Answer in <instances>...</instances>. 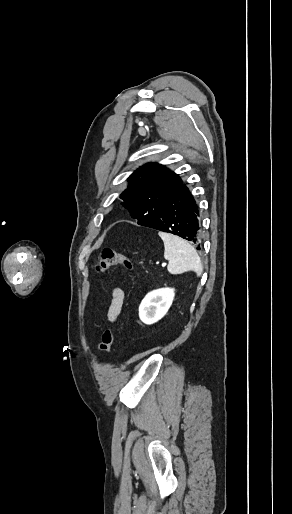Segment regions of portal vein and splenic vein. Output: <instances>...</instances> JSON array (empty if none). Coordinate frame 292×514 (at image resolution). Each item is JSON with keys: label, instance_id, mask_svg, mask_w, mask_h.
Instances as JSON below:
<instances>
[{"label": "portal vein and splenic vein", "instance_id": "obj_1", "mask_svg": "<svg viewBox=\"0 0 292 514\" xmlns=\"http://www.w3.org/2000/svg\"><path fill=\"white\" fill-rule=\"evenodd\" d=\"M162 266H163V268H164V266H167V264H162Z\"/></svg>", "mask_w": 292, "mask_h": 514}]
</instances>
